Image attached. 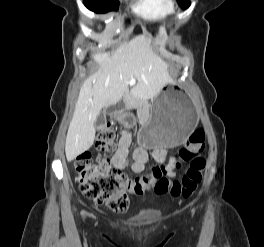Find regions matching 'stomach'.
<instances>
[{
  "label": "stomach",
  "instance_id": "1",
  "mask_svg": "<svg viewBox=\"0 0 264 247\" xmlns=\"http://www.w3.org/2000/svg\"><path fill=\"white\" fill-rule=\"evenodd\" d=\"M162 90L138 132V140L146 148L180 147L197 122L194 104L182 86H163ZM114 116L124 119L125 124L132 120L124 110L116 111Z\"/></svg>",
  "mask_w": 264,
  "mask_h": 247
}]
</instances>
